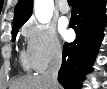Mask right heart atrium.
Returning a JSON list of instances; mask_svg holds the SVG:
<instances>
[{"instance_id": "d8ad5b80", "label": "right heart atrium", "mask_w": 107, "mask_h": 89, "mask_svg": "<svg viewBox=\"0 0 107 89\" xmlns=\"http://www.w3.org/2000/svg\"><path fill=\"white\" fill-rule=\"evenodd\" d=\"M23 35L27 44V55L35 71L42 72L60 60L62 45L51 26L29 22L23 28Z\"/></svg>"}]
</instances>
